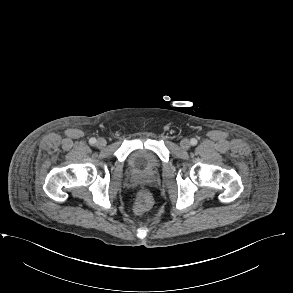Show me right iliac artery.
<instances>
[{
	"instance_id": "obj_1",
	"label": "right iliac artery",
	"mask_w": 293,
	"mask_h": 293,
	"mask_svg": "<svg viewBox=\"0 0 293 293\" xmlns=\"http://www.w3.org/2000/svg\"><path fill=\"white\" fill-rule=\"evenodd\" d=\"M89 143H90L91 145H94V144L96 143V139H95V138H91V139L89 140Z\"/></svg>"
}]
</instances>
